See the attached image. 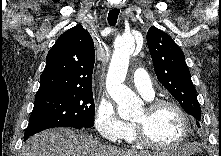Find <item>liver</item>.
<instances>
[{"instance_id":"1","label":"liver","mask_w":221,"mask_h":156,"mask_svg":"<svg viewBox=\"0 0 221 156\" xmlns=\"http://www.w3.org/2000/svg\"><path fill=\"white\" fill-rule=\"evenodd\" d=\"M183 151L190 155L198 151V148L184 146ZM21 156H151V154L105 145L84 131L55 128L29 138L22 147Z\"/></svg>"}]
</instances>
